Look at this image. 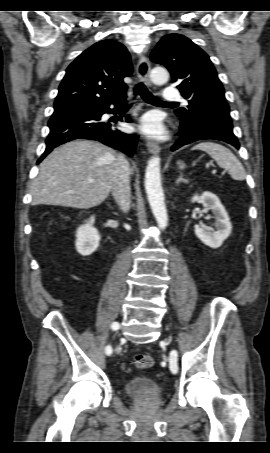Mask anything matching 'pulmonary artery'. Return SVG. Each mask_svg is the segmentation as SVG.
Wrapping results in <instances>:
<instances>
[{
    "instance_id": "1",
    "label": "pulmonary artery",
    "mask_w": 270,
    "mask_h": 453,
    "mask_svg": "<svg viewBox=\"0 0 270 453\" xmlns=\"http://www.w3.org/2000/svg\"><path fill=\"white\" fill-rule=\"evenodd\" d=\"M164 99L165 101H178L182 99V95L180 91H178L172 86H169L165 89Z\"/></svg>"
}]
</instances>
